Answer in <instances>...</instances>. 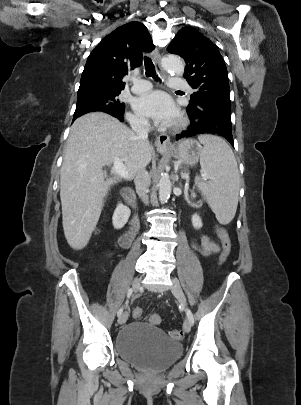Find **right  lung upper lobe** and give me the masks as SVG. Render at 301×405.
<instances>
[{
    "label": "right lung upper lobe",
    "instance_id": "cb5924a9",
    "mask_svg": "<svg viewBox=\"0 0 301 405\" xmlns=\"http://www.w3.org/2000/svg\"><path fill=\"white\" fill-rule=\"evenodd\" d=\"M155 48L140 22L122 25L104 37L90 53L78 92L92 89L122 90V77L142 61V52Z\"/></svg>",
    "mask_w": 301,
    "mask_h": 405
}]
</instances>
